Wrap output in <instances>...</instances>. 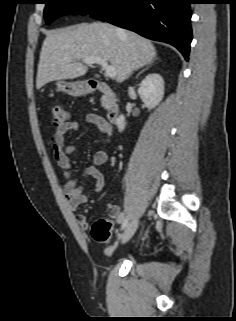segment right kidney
Segmentation results:
<instances>
[{"label":"right kidney","mask_w":236,"mask_h":321,"mask_svg":"<svg viewBox=\"0 0 236 321\" xmlns=\"http://www.w3.org/2000/svg\"><path fill=\"white\" fill-rule=\"evenodd\" d=\"M138 94L149 110L155 108L164 96V81L157 73L148 74L140 83ZM119 131H123L126 125L125 117L120 115L116 120Z\"/></svg>","instance_id":"1"}]
</instances>
